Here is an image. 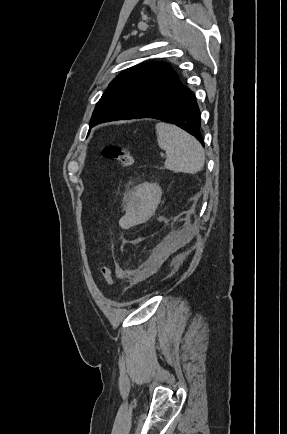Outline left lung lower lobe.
<instances>
[{
	"instance_id": "1",
	"label": "left lung lower lobe",
	"mask_w": 287,
	"mask_h": 434,
	"mask_svg": "<svg viewBox=\"0 0 287 434\" xmlns=\"http://www.w3.org/2000/svg\"><path fill=\"white\" fill-rule=\"evenodd\" d=\"M134 118H154L175 124L204 145L199 108L194 94L184 85L160 101L141 108L130 119Z\"/></svg>"
}]
</instances>
